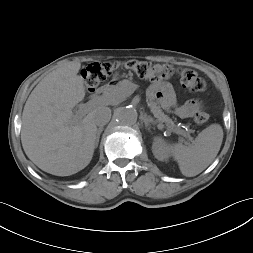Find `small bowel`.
Returning <instances> with one entry per match:
<instances>
[{
	"instance_id": "obj_1",
	"label": "small bowel",
	"mask_w": 253,
	"mask_h": 253,
	"mask_svg": "<svg viewBox=\"0 0 253 253\" xmlns=\"http://www.w3.org/2000/svg\"><path fill=\"white\" fill-rule=\"evenodd\" d=\"M148 98L151 102L157 101L164 109L180 118H189L202 108V102L196 99L178 103L174 88L169 82L152 83L148 89Z\"/></svg>"
}]
</instances>
